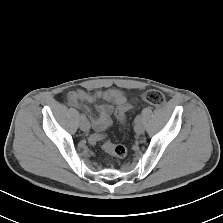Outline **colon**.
<instances>
[{
  "label": "colon",
  "mask_w": 223,
  "mask_h": 223,
  "mask_svg": "<svg viewBox=\"0 0 223 223\" xmlns=\"http://www.w3.org/2000/svg\"><path fill=\"white\" fill-rule=\"evenodd\" d=\"M142 99L147 104L160 108L165 103V98L163 94L156 90H147L143 92ZM129 108L128 104H123L118 110L116 111V116L120 121L125 120V111ZM92 143H97L104 140V136L101 134H93L90 138ZM103 148L106 152L110 153L111 155L123 158L127 154V148L124 145H114L111 142L104 140L103 141Z\"/></svg>",
  "instance_id": "5ec220e1"
}]
</instances>
